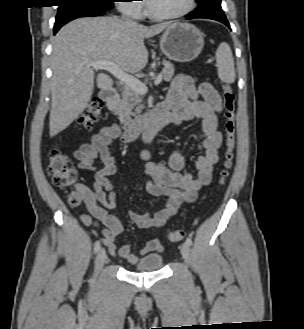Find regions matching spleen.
Segmentation results:
<instances>
[{"mask_svg":"<svg viewBox=\"0 0 304 329\" xmlns=\"http://www.w3.org/2000/svg\"><path fill=\"white\" fill-rule=\"evenodd\" d=\"M216 62L218 64V76L221 81L232 84L235 81L234 59L230 46L221 43L216 51Z\"/></svg>","mask_w":304,"mask_h":329,"instance_id":"obj_1","label":"spleen"}]
</instances>
